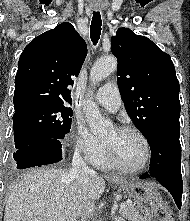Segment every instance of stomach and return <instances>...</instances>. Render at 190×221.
I'll list each match as a JSON object with an SVG mask.
<instances>
[{"instance_id": "stomach-1", "label": "stomach", "mask_w": 190, "mask_h": 221, "mask_svg": "<svg viewBox=\"0 0 190 221\" xmlns=\"http://www.w3.org/2000/svg\"><path fill=\"white\" fill-rule=\"evenodd\" d=\"M114 182L133 200L141 221H170V216L157 187L148 181H128L114 178Z\"/></svg>"}]
</instances>
